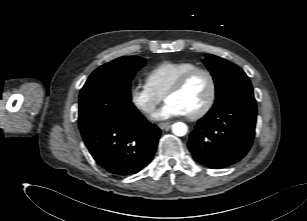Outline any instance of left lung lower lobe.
Wrapping results in <instances>:
<instances>
[{
	"label": "left lung lower lobe",
	"instance_id": "1",
	"mask_svg": "<svg viewBox=\"0 0 307 221\" xmlns=\"http://www.w3.org/2000/svg\"><path fill=\"white\" fill-rule=\"evenodd\" d=\"M254 98H237L198 120L187 143L194 159L213 169L228 167L249 151L255 134Z\"/></svg>",
	"mask_w": 307,
	"mask_h": 221
}]
</instances>
